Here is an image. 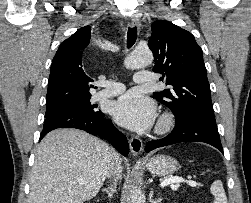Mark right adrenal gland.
I'll return each mask as SVG.
<instances>
[{
  "instance_id": "1",
  "label": "right adrenal gland",
  "mask_w": 251,
  "mask_h": 203,
  "mask_svg": "<svg viewBox=\"0 0 251 203\" xmlns=\"http://www.w3.org/2000/svg\"><path fill=\"white\" fill-rule=\"evenodd\" d=\"M116 187H117V181L114 180L113 184L108 188L102 189V192H106L108 198L111 199L113 197V194L116 192Z\"/></svg>"
}]
</instances>
